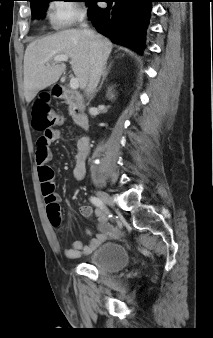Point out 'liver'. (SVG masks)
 <instances>
[{"label": "liver", "instance_id": "liver-1", "mask_svg": "<svg viewBox=\"0 0 213 338\" xmlns=\"http://www.w3.org/2000/svg\"><path fill=\"white\" fill-rule=\"evenodd\" d=\"M102 51L107 57L112 43L99 34ZM57 55H67L80 88L84 89L90 77V43L82 30H65L31 42L24 55V95L31 102L40 90L56 83L65 71V64L53 63ZM49 64V65H47Z\"/></svg>", "mask_w": 213, "mask_h": 338}]
</instances>
